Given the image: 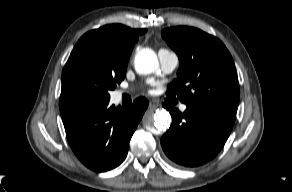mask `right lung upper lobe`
I'll list each match as a JSON object with an SVG mask.
<instances>
[{"instance_id":"obj_1","label":"right lung upper lobe","mask_w":292,"mask_h":192,"mask_svg":"<svg viewBox=\"0 0 292 192\" xmlns=\"http://www.w3.org/2000/svg\"><path fill=\"white\" fill-rule=\"evenodd\" d=\"M146 29H131L121 24L105 25L84 34L77 43H92L113 64L127 67L129 56L139 35Z\"/></svg>"}]
</instances>
